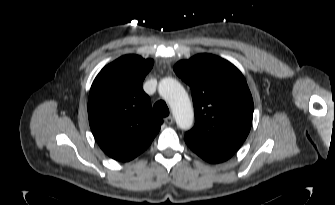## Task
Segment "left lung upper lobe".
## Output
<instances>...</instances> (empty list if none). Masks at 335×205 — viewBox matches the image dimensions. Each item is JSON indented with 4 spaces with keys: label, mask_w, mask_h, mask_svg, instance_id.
<instances>
[{
    "label": "left lung upper lobe",
    "mask_w": 335,
    "mask_h": 205,
    "mask_svg": "<svg viewBox=\"0 0 335 205\" xmlns=\"http://www.w3.org/2000/svg\"><path fill=\"white\" fill-rule=\"evenodd\" d=\"M174 71L192 91L195 125L185 138L210 148L237 151L249 134L254 110L242 73L211 54L181 60Z\"/></svg>",
    "instance_id": "left-lung-upper-lobe-1"
}]
</instances>
